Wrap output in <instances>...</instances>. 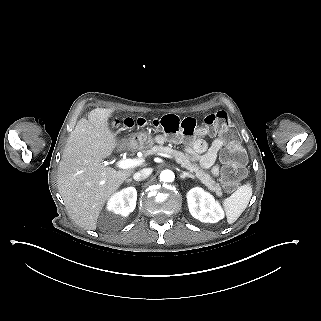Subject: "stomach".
Segmentation results:
<instances>
[{
	"mask_svg": "<svg viewBox=\"0 0 321 321\" xmlns=\"http://www.w3.org/2000/svg\"><path fill=\"white\" fill-rule=\"evenodd\" d=\"M154 140L147 132L141 131L132 133L128 138L119 142V148L149 149L153 146Z\"/></svg>",
	"mask_w": 321,
	"mask_h": 321,
	"instance_id": "obj_1",
	"label": "stomach"
}]
</instances>
